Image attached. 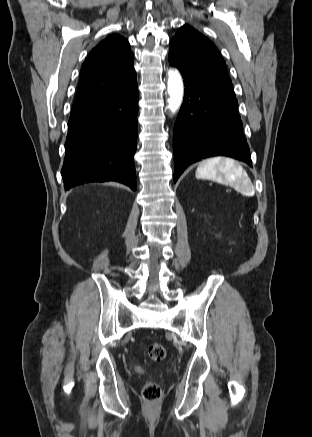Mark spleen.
<instances>
[{"instance_id": "1", "label": "spleen", "mask_w": 312, "mask_h": 437, "mask_svg": "<svg viewBox=\"0 0 312 437\" xmlns=\"http://www.w3.org/2000/svg\"><path fill=\"white\" fill-rule=\"evenodd\" d=\"M196 177L232 186L246 196H252L255 192L246 171L231 158L215 157L201 162L197 167Z\"/></svg>"}]
</instances>
